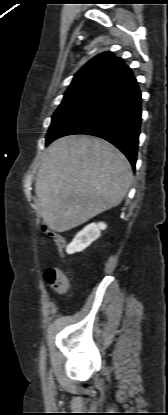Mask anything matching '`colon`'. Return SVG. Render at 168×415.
I'll list each match as a JSON object with an SVG mask.
<instances>
[{
	"label": "colon",
	"mask_w": 168,
	"mask_h": 415,
	"mask_svg": "<svg viewBox=\"0 0 168 415\" xmlns=\"http://www.w3.org/2000/svg\"><path fill=\"white\" fill-rule=\"evenodd\" d=\"M47 234L52 238L60 255L64 257L65 239L63 235L54 231H47ZM44 279L49 285L61 292L66 291L69 287V278L66 270L62 266L47 269L44 274Z\"/></svg>",
	"instance_id": "5ec220e1"
}]
</instances>
